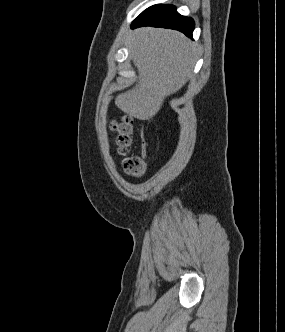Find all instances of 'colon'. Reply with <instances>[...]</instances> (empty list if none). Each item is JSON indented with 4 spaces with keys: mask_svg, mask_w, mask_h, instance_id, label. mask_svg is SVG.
<instances>
[{
    "mask_svg": "<svg viewBox=\"0 0 285 332\" xmlns=\"http://www.w3.org/2000/svg\"><path fill=\"white\" fill-rule=\"evenodd\" d=\"M133 118L123 116L111 121L110 127L114 133V142L120 155H125L132 142ZM145 160L141 156H129L124 160V171L133 177L141 176L145 171Z\"/></svg>",
    "mask_w": 285,
    "mask_h": 332,
    "instance_id": "obj_1",
    "label": "colon"
}]
</instances>
